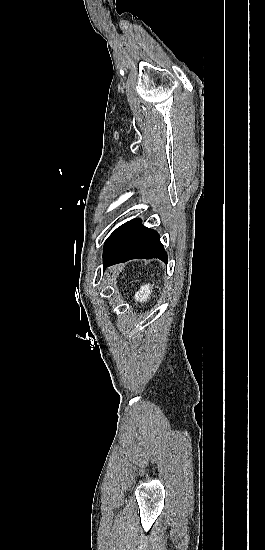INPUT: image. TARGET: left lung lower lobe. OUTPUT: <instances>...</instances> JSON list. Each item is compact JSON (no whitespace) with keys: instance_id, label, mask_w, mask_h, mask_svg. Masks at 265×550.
<instances>
[{"instance_id":"1","label":"left lung lower lobe","mask_w":265,"mask_h":550,"mask_svg":"<svg viewBox=\"0 0 265 550\" xmlns=\"http://www.w3.org/2000/svg\"><path fill=\"white\" fill-rule=\"evenodd\" d=\"M159 238L156 231L140 222L113 251L103 256V269L136 258H159L167 263V253Z\"/></svg>"}]
</instances>
